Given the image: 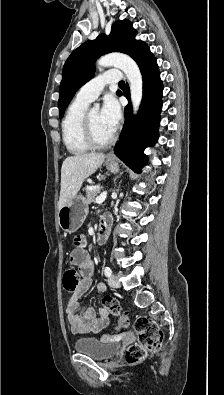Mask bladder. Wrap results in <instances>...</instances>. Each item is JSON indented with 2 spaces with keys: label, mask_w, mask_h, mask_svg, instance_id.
<instances>
[{
  "label": "bladder",
  "mask_w": 224,
  "mask_h": 395,
  "mask_svg": "<svg viewBox=\"0 0 224 395\" xmlns=\"http://www.w3.org/2000/svg\"><path fill=\"white\" fill-rule=\"evenodd\" d=\"M75 350L80 354H85L94 360H108L115 356L118 347L115 343L92 337H82L75 341Z\"/></svg>",
  "instance_id": "obj_1"
}]
</instances>
